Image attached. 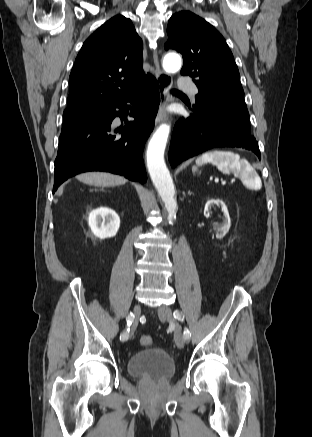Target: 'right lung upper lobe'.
Listing matches in <instances>:
<instances>
[{
  "label": "right lung upper lobe",
  "instance_id": "obj_1",
  "mask_svg": "<svg viewBox=\"0 0 312 437\" xmlns=\"http://www.w3.org/2000/svg\"><path fill=\"white\" fill-rule=\"evenodd\" d=\"M143 43L130 19L117 15L83 44L71 71L67 109H105L149 76L142 69Z\"/></svg>",
  "mask_w": 312,
  "mask_h": 437
}]
</instances>
